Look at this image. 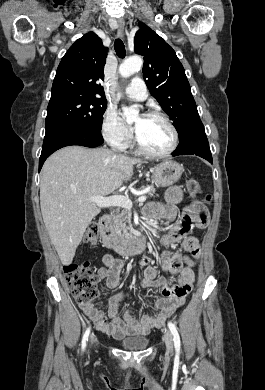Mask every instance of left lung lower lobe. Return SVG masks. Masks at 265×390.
I'll return each instance as SVG.
<instances>
[{"label":"left lung lower lobe","instance_id":"1","mask_svg":"<svg viewBox=\"0 0 265 390\" xmlns=\"http://www.w3.org/2000/svg\"><path fill=\"white\" fill-rule=\"evenodd\" d=\"M186 154L200 156L212 163V155L204 127L186 145L177 147L172 153L173 156Z\"/></svg>","mask_w":265,"mask_h":390}]
</instances>
